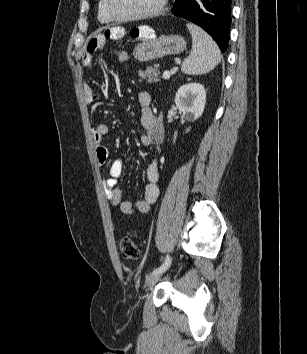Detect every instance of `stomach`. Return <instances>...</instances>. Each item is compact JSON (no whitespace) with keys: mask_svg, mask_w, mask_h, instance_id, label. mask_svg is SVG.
Returning <instances> with one entry per match:
<instances>
[{"mask_svg":"<svg viewBox=\"0 0 307 354\" xmlns=\"http://www.w3.org/2000/svg\"><path fill=\"white\" fill-rule=\"evenodd\" d=\"M131 32L134 34V39L141 41L133 51L135 59L140 62L180 54L186 48L185 39L178 34L162 35L156 38L154 30L147 25L135 27Z\"/></svg>","mask_w":307,"mask_h":354,"instance_id":"obj_1","label":"stomach"}]
</instances>
